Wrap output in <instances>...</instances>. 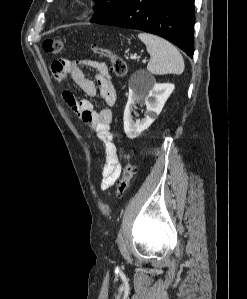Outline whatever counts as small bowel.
Wrapping results in <instances>:
<instances>
[{"label":"small bowel","instance_id":"1","mask_svg":"<svg viewBox=\"0 0 247 299\" xmlns=\"http://www.w3.org/2000/svg\"><path fill=\"white\" fill-rule=\"evenodd\" d=\"M51 67L58 83H63L67 76H70L88 96L99 95L104 101V107L96 111L89 100L78 99L71 90L66 89L62 94L66 104L80 116L88 128L96 132L97 138L103 144L105 164L101 170V189L107 190L114 185L121 174L118 148L110 131L113 117L111 108L116 102L117 93L111 81L109 67L104 62L66 59L54 61ZM82 67H89L94 71L95 81L86 78Z\"/></svg>","mask_w":247,"mask_h":299}]
</instances>
